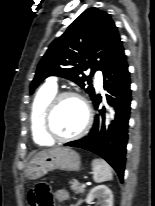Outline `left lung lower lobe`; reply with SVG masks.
I'll return each instance as SVG.
<instances>
[{
	"mask_svg": "<svg viewBox=\"0 0 155 206\" xmlns=\"http://www.w3.org/2000/svg\"><path fill=\"white\" fill-rule=\"evenodd\" d=\"M104 78V89L107 91L105 96L108 103L115 107V120L106 131L105 110H98L90 133L82 139L66 143L65 146L79 147L101 156L115 169L123 182L131 104L130 73L124 49L107 67ZM92 101L97 109L101 96L95 94Z\"/></svg>",
	"mask_w": 155,
	"mask_h": 206,
	"instance_id": "left-lung-lower-lobe-1",
	"label": "left lung lower lobe"
}]
</instances>
